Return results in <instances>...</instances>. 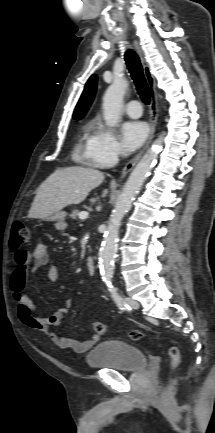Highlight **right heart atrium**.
<instances>
[{"instance_id":"right-heart-atrium-1","label":"right heart atrium","mask_w":215,"mask_h":433,"mask_svg":"<svg viewBox=\"0 0 215 433\" xmlns=\"http://www.w3.org/2000/svg\"><path fill=\"white\" fill-rule=\"evenodd\" d=\"M90 153L98 166L108 167L116 163L122 149L111 128L102 123L97 125Z\"/></svg>"}]
</instances>
